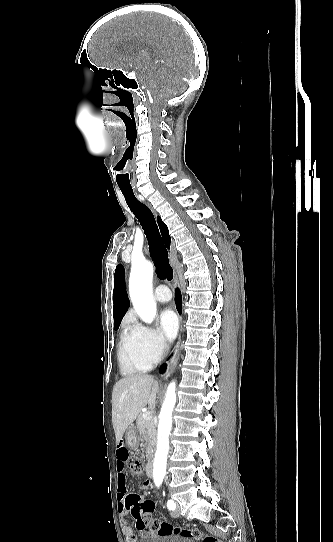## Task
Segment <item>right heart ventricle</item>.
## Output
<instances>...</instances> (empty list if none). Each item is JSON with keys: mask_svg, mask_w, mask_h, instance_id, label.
Listing matches in <instances>:
<instances>
[{"mask_svg": "<svg viewBox=\"0 0 333 542\" xmlns=\"http://www.w3.org/2000/svg\"><path fill=\"white\" fill-rule=\"evenodd\" d=\"M134 327L133 320H129L119 343V359L125 374L149 371L157 362V357L146 351L133 337Z\"/></svg>", "mask_w": 333, "mask_h": 542, "instance_id": "1", "label": "right heart ventricle"}]
</instances>
